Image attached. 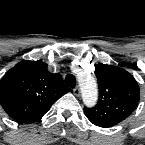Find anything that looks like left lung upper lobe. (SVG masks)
Instances as JSON below:
<instances>
[{
  "mask_svg": "<svg viewBox=\"0 0 145 145\" xmlns=\"http://www.w3.org/2000/svg\"><path fill=\"white\" fill-rule=\"evenodd\" d=\"M98 103L85 107L87 118L96 126L109 128L126 119L139 101V86L126 70L112 65H97Z\"/></svg>",
  "mask_w": 145,
  "mask_h": 145,
  "instance_id": "left-lung-upper-lobe-1",
  "label": "left lung upper lobe"
}]
</instances>
